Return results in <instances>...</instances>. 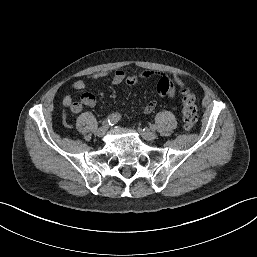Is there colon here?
Here are the masks:
<instances>
[{
  "label": "colon",
  "mask_w": 257,
  "mask_h": 257,
  "mask_svg": "<svg viewBox=\"0 0 257 257\" xmlns=\"http://www.w3.org/2000/svg\"><path fill=\"white\" fill-rule=\"evenodd\" d=\"M197 111L195 96L185 90L182 96V116L185 130H192L196 126L198 120Z\"/></svg>",
  "instance_id": "5ec220e1"
}]
</instances>
